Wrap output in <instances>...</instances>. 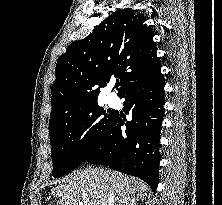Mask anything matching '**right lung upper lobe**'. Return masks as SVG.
Listing matches in <instances>:
<instances>
[{
  "label": "right lung upper lobe",
  "instance_id": "cb5924a9",
  "mask_svg": "<svg viewBox=\"0 0 222 205\" xmlns=\"http://www.w3.org/2000/svg\"><path fill=\"white\" fill-rule=\"evenodd\" d=\"M131 8L117 10L86 38L72 42L57 61L49 124L97 104L100 88L118 78V95L161 68L154 31ZM99 86V87H97Z\"/></svg>",
  "mask_w": 222,
  "mask_h": 205
}]
</instances>
